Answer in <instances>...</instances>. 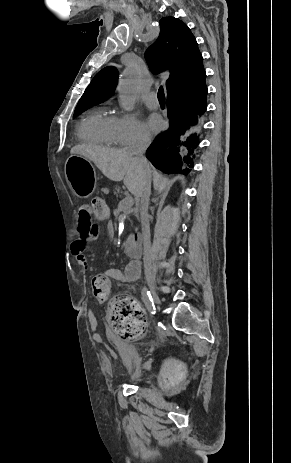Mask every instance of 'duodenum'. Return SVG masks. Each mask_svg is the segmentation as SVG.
I'll return each mask as SVG.
<instances>
[{"label": "duodenum", "instance_id": "obj_1", "mask_svg": "<svg viewBox=\"0 0 291 463\" xmlns=\"http://www.w3.org/2000/svg\"><path fill=\"white\" fill-rule=\"evenodd\" d=\"M141 241L140 234L134 233L130 235L124 245L126 253L134 259L133 261H138L137 259L142 254Z\"/></svg>", "mask_w": 291, "mask_h": 463}]
</instances>
